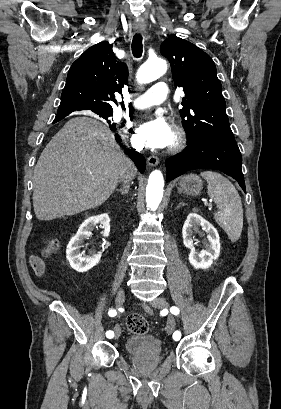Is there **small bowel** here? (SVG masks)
<instances>
[{"mask_svg":"<svg viewBox=\"0 0 281 409\" xmlns=\"http://www.w3.org/2000/svg\"><path fill=\"white\" fill-rule=\"evenodd\" d=\"M31 265L33 267V271L35 275L41 276L45 270V264L42 259L38 257L31 258Z\"/></svg>","mask_w":281,"mask_h":409,"instance_id":"small-bowel-1","label":"small bowel"}]
</instances>
